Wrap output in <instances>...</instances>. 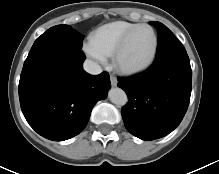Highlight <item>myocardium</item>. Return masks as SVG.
I'll list each match as a JSON object with an SVG mask.
<instances>
[{
    "instance_id": "obj_1",
    "label": "myocardium",
    "mask_w": 219,
    "mask_h": 174,
    "mask_svg": "<svg viewBox=\"0 0 219 174\" xmlns=\"http://www.w3.org/2000/svg\"><path fill=\"white\" fill-rule=\"evenodd\" d=\"M141 28H148L153 33L154 44H153L152 53L144 63L137 66H126L121 62L122 54L124 53L131 37L135 34L137 30ZM158 44H159V40L156 30L149 24H139L133 29H131L129 32H127L125 36L122 38V40L120 41V43L118 44L117 48L113 53V65L118 72L124 75H135L141 73L146 69H148L154 62L158 51Z\"/></svg>"
}]
</instances>
